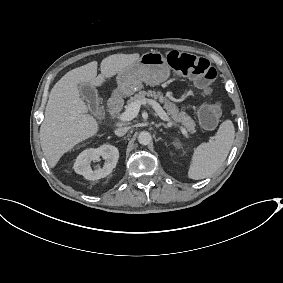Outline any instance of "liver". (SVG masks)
Wrapping results in <instances>:
<instances>
[{
	"instance_id": "1",
	"label": "liver",
	"mask_w": 283,
	"mask_h": 283,
	"mask_svg": "<svg viewBox=\"0 0 283 283\" xmlns=\"http://www.w3.org/2000/svg\"><path fill=\"white\" fill-rule=\"evenodd\" d=\"M140 59L139 53L113 54L101 62L91 61L67 72L52 88L40 128V145L50 166L54 169L64 154L79 143L94 137L100 130L98 121L86 115L88 107L80 95V85L101 88L125 68Z\"/></svg>"
}]
</instances>
